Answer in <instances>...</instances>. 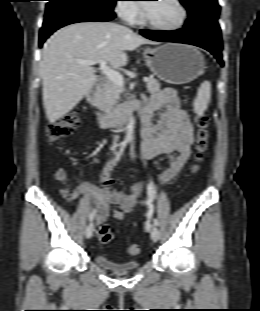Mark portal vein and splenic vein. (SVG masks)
<instances>
[{"label":"portal vein and splenic vein","mask_w":260,"mask_h":311,"mask_svg":"<svg viewBox=\"0 0 260 311\" xmlns=\"http://www.w3.org/2000/svg\"><path fill=\"white\" fill-rule=\"evenodd\" d=\"M78 63L80 64H84V65H95L97 63L100 64V70L101 72L108 78L110 79L112 82H114L116 85L122 87L124 85V79H123V76L111 69L106 61L104 60H100V61H91V60H76ZM144 82H149V78L145 77L144 78Z\"/></svg>","instance_id":"1"}]
</instances>
